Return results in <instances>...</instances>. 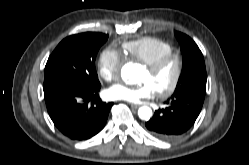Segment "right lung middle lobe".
Listing matches in <instances>:
<instances>
[{"instance_id": "1", "label": "right lung middle lobe", "mask_w": 249, "mask_h": 165, "mask_svg": "<svg viewBox=\"0 0 249 165\" xmlns=\"http://www.w3.org/2000/svg\"><path fill=\"white\" fill-rule=\"evenodd\" d=\"M108 35L86 32L62 40L45 66L44 81L55 80L84 88L100 85L95 58Z\"/></svg>"}]
</instances>
